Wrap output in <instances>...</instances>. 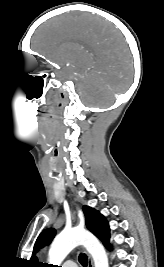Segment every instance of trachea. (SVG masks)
<instances>
[{"label": "trachea", "instance_id": "1", "mask_svg": "<svg viewBox=\"0 0 164 267\" xmlns=\"http://www.w3.org/2000/svg\"><path fill=\"white\" fill-rule=\"evenodd\" d=\"M78 259L83 267H87L88 259L85 254H80Z\"/></svg>", "mask_w": 164, "mask_h": 267}]
</instances>
